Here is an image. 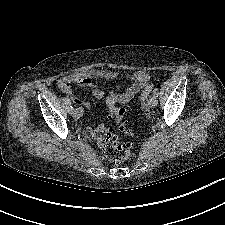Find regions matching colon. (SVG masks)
<instances>
[{"instance_id":"1","label":"colon","mask_w":225,"mask_h":225,"mask_svg":"<svg viewBox=\"0 0 225 225\" xmlns=\"http://www.w3.org/2000/svg\"><path fill=\"white\" fill-rule=\"evenodd\" d=\"M153 91V85H149L143 89L140 95V105L143 113L149 114V96ZM125 109L122 107L112 106L109 108V115L114 119L118 127L127 135H131V131L126 128L123 121ZM92 136L100 147L104 157L111 162L119 163L129 160L133 156V148L130 143L121 142L117 135L105 125L98 126Z\"/></svg>"}]
</instances>
